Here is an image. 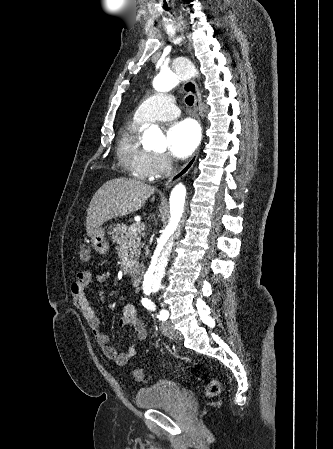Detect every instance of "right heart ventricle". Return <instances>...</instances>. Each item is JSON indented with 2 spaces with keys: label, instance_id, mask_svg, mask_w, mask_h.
Instances as JSON below:
<instances>
[{
  "label": "right heart ventricle",
  "instance_id": "e07e8e85",
  "mask_svg": "<svg viewBox=\"0 0 333 449\" xmlns=\"http://www.w3.org/2000/svg\"><path fill=\"white\" fill-rule=\"evenodd\" d=\"M145 128L133 119L119 133L117 154L124 166L137 179L148 180L153 178L150 169V156L140 143L141 132Z\"/></svg>",
  "mask_w": 333,
  "mask_h": 449
}]
</instances>
